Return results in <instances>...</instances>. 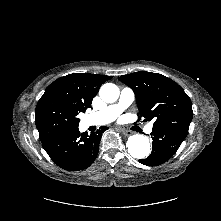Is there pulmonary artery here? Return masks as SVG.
Masks as SVG:
<instances>
[{
    "mask_svg": "<svg viewBox=\"0 0 221 221\" xmlns=\"http://www.w3.org/2000/svg\"><path fill=\"white\" fill-rule=\"evenodd\" d=\"M134 92L130 88H123L121 90L118 101L115 104L107 106L105 109L93 113L88 116L87 122L89 125H105L112 122L118 117L128 106L134 101ZM148 133L152 131V125L146 129Z\"/></svg>",
    "mask_w": 221,
    "mask_h": 221,
    "instance_id": "1",
    "label": "pulmonary artery"
}]
</instances>
